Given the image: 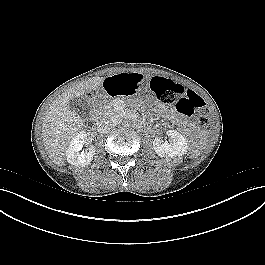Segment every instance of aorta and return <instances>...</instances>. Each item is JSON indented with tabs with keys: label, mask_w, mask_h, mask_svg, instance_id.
I'll return each instance as SVG.
<instances>
[{
	"label": "aorta",
	"mask_w": 265,
	"mask_h": 265,
	"mask_svg": "<svg viewBox=\"0 0 265 265\" xmlns=\"http://www.w3.org/2000/svg\"><path fill=\"white\" fill-rule=\"evenodd\" d=\"M110 121L113 125L117 126L123 122V117L121 114L114 113L113 115H111Z\"/></svg>",
	"instance_id": "1"
}]
</instances>
